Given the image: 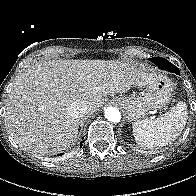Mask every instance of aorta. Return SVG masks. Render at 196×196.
I'll use <instances>...</instances> for the list:
<instances>
[{
	"label": "aorta",
	"mask_w": 196,
	"mask_h": 196,
	"mask_svg": "<svg viewBox=\"0 0 196 196\" xmlns=\"http://www.w3.org/2000/svg\"><path fill=\"white\" fill-rule=\"evenodd\" d=\"M105 117L108 121L118 123L121 120V114L115 107H108L105 109Z\"/></svg>",
	"instance_id": "1"
}]
</instances>
